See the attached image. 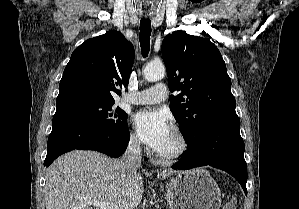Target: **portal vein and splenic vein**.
<instances>
[{
  "mask_svg": "<svg viewBox=\"0 0 299 209\" xmlns=\"http://www.w3.org/2000/svg\"><path fill=\"white\" fill-rule=\"evenodd\" d=\"M90 204L96 206L98 209H119L114 202L91 201Z\"/></svg>",
  "mask_w": 299,
  "mask_h": 209,
  "instance_id": "1",
  "label": "portal vein and splenic vein"
}]
</instances>
